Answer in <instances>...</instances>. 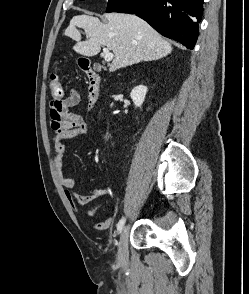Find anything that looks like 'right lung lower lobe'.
<instances>
[{
  "label": "right lung lower lobe",
  "instance_id": "right-lung-lower-lobe-1",
  "mask_svg": "<svg viewBox=\"0 0 249 294\" xmlns=\"http://www.w3.org/2000/svg\"><path fill=\"white\" fill-rule=\"evenodd\" d=\"M117 12L136 14L163 36L193 49L203 0H127Z\"/></svg>",
  "mask_w": 249,
  "mask_h": 294
}]
</instances>
